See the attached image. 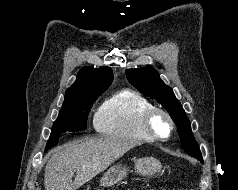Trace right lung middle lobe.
<instances>
[{
    "instance_id": "obj_1",
    "label": "right lung middle lobe",
    "mask_w": 238,
    "mask_h": 190,
    "mask_svg": "<svg viewBox=\"0 0 238 190\" xmlns=\"http://www.w3.org/2000/svg\"><path fill=\"white\" fill-rule=\"evenodd\" d=\"M99 94L80 96L69 104H63L53 124L45 151L58 143V137L64 132H78L86 129V120L93 102Z\"/></svg>"
}]
</instances>
